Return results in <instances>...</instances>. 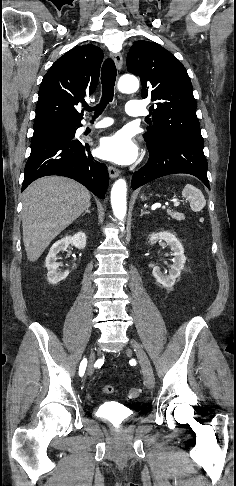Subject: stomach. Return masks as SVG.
<instances>
[{"label":"stomach","mask_w":236,"mask_h":486,"mask_svg":"<svg viewBox=\"0 0 236 486\" xmlns=\"http://www.w3.org/2000/svg\"><path fill=\"white\" fill-rule=\"evenodd\" d=\"M141 199H146L144 196H141Z\"/></svg>","instance_id":"stomach-1"}]
</instances>
